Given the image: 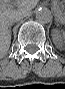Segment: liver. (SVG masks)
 Here are the masks:
<instances>
[{"label":"liver","mask_w":65,"mask_h":89,"mask_svg":"<svg viewBox=\"0 0 65 89\" xmlns=\"http://www.w3.org/2000/svg\"><path fill=\"white\" fill-rule=\"evenodd\" d=\"M37 0H1L0 1V55L4 56L11 44V21L21 14L27 15L33 9ZM17 9H14V7Z\"/></svg>","instance_id":"liver-1"}]
</instances>
